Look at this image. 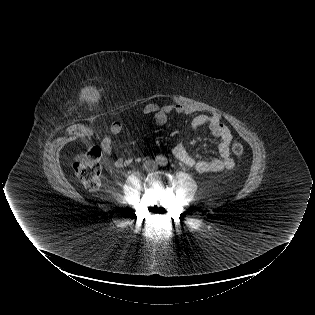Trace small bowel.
<instances>
[{
	"label": "small bowel",
	"instance_id": "small-bowel-1",
	"mask_svg": "<svg viewBox=\"0 0 315 315\" xmlns=\"http://www.w3.org/2000/svg\"><path fill=\"white\" fill-rule=\"evenodd\" d=\"M194 111L185 104L176 103L164 106L157 104H147L143 109V115L150 117L153 122L158 125H164L168 116L172 113L180 115H190ZM207 125L214 138L219 139L218 152L219 158L212 160L195 159L189 154L184 145L178 144L173 150V156L188 167L194 168L199 173L219 172L222 170H229L234 167V161L230 156V144L232 135L230 130L221 122L220 115L212 114H198L193 117L191 121V128L195 133H199L203 126ZM123 130V124L120 121L111 123L109 133L104 136L101 142V149L106 157H111L113 154L112 137L118 136ZM132 162L130 157H118L114 161L116 168L128 166Z\"/></svg>",
	"mask_w": 315,
	"mask_h": 315
}]
</instances>
